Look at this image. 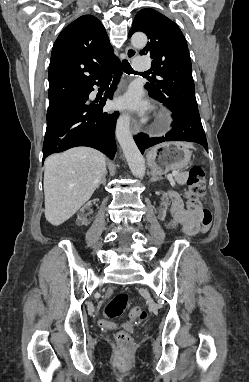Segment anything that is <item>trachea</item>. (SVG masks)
I'll list each match as a JSON object with an SVG mask.
<instances>
[{
	"instance_id": "trachea-1",
	"label": "trachea",
	"mask_w": 249,
	"mask_h": 382,
	"mask_svg": "<svg viewBox=\"0 0 249 382\" xmlns=\"http://www.w3.org/2000/svg\"><path fill=\"white\" fill-rule=\"evenodd\" d=\"M122 68H123V71L127 74H132V73H135L137 74L138 72H134V70L132 69L130 63L127 61V60H123L122 61ZM141 73H144L146 74L147 72H141ZM111 77V76H109Z\"/></svg>"
}]
</instances>
